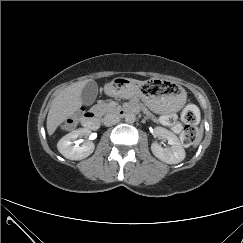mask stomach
Returning <instances> with one entry per match:
<instances>
[{"instance_id": "1", "label": "stomach", "mask_w": 243, "mask_h": 243, "mask_svg": "<svg viewBox=\"0 0 243 243\" xmlns=\"http://www.w3.org/2000/svg\"><path fill=\"white\" fill-rule=\"evenodd\" d=\"M138 89L141 97L148 106L160 114L176 113L186 103V92L177 84L163 82L158 79L150 83L134 82L126 78H118L106 85V89L112 95H119L125 89Z\"/></svg>"}]
</instances>
